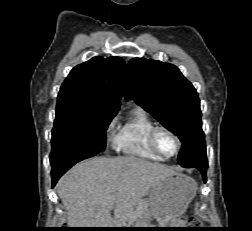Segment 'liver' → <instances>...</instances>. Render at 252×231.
<instances>
[{
    "mask_svg": "<svg viewBox=\"0 0 252 231\" xmlns=\"http://www.w3.org/2000/svg\"><path fill=\"white\" fill-rule=\"evenodd\" d=\"M173 174L166 165L133 156L95 157L62 176L57 190L70 227L121 228L140 218L142 198Z\"/></svg>",
    "mask_w": 252,
    "mask_h": 231,
    "instance_id": "6515ba94",
    "label": "liver"
}]
</instances>
